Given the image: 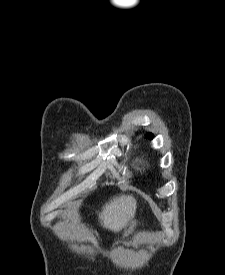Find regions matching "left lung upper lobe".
Wrapping results in <instances>:
<instances>
[{
	"label": "left lung upper lobe",
	"mask_w": 225,
	"mask_h": 275,
	"mask_svg": "<svg viewBox=\"0 0 225 275\" xmlns=\"http://www.w3.org/2000/svg\"><path fill=\"white\" fill-rule=\"evenodd\" d=\"M147 138L152 139V138H153V135H152V134H148V135H147Z\"/></svg>",
	"instance_id": "obj_1"
}]
</instances>
